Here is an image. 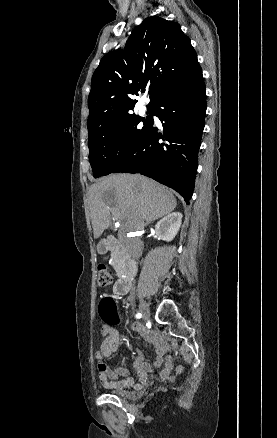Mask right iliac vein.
<instances>
[{"instance_id":"63e3f726","label":"right iliac vein","mask_w":277,"mask_h":438,"mask_svg":"<svg viewBox=\"0 0 277 438\" xmlns=\"http://www.w3.org/2000/svg\"><path fill=\"white\" fill-rule=\"evenodd\" d=\"M140 312L142 313L145 320H147L150 316L149 309L144 302H141L139 305Z\"/></svg>"}]
</instances>
